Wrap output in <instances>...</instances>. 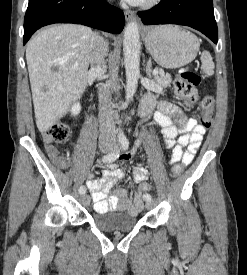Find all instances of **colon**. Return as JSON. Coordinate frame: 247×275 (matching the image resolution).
Instances as JSON below:
<instances>
[{"mask_svg":"<svg viewBox=\"0 0 247 275\" xmlns=\"http://www.w3.org/2000/svg\"><path fill=\"white\" fill-rule=\"evenodd\" d=\"M201 83V77L198 73L191 70H182L175 82V92L184 101L186 106H192L198 100L197 87ZM214 112V99L212 96H205L201 101L200 123L205 129L212 124ZM70 137V130L65 125H56L49 129L44 135V141L47 144H64ZM184 164H175L171 169V177H178ZM152 190L150 183L144 182L139 185L137 193L147 194Z\"/></svg>","mask_w":247,"mask_h":275,"instance_id":"5ec220e1","label":"colon"}]
</instances>
